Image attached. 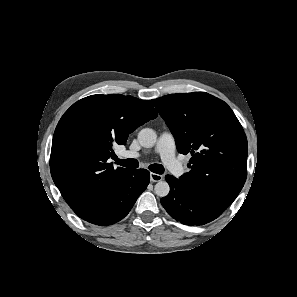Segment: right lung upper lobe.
<instances>
[{
	"label": "right lung upper lobe",
	"instance_id": "cb5924a9",
	"mask_svg": "<svg viewBox=\"0 0 297 297\" xmlns=\"http://www.w3.org/2000/svg\"><path fill=\"white\" fill-rule=\"evenodd\" d=\"M148 100L120 94L91 95L61 117L53 136L50 170L65 201L80 217L92 213L131 169H114L113 144L157 117Z\"/></svg>",
	"mask_w": 297,
	"mask_h": 297
}]
</instances>
